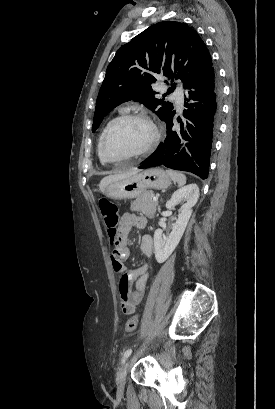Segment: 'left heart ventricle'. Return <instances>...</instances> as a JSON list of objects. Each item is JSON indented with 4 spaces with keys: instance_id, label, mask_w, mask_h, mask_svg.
Returning a JSON list of instances; mask_svg holds the SVG:
<instances>
[{
    "instance_id": "b2bd125f",
    "label": "left heart ventricle",
    "mask_w": 275,
    "mask_h": 409,
    "mask_svg": "<svg viewBox=\"0 0 275 409\" xmlns=\"http://www.w3.org/2000/svg\"><path fill=\"white\" fill-rule=\"evenodd\" d=\"M148 136V129L139 121H122L110 132L104 144L106 157H122L139 148Z\"/></svg>"
}]
</instances>
